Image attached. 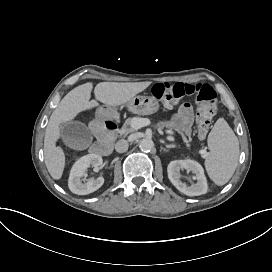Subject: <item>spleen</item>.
I'll use <instances>...</instances> for the list:
<instances>
[{"instance_id":"spleen-1","label":"spleen","mask_w":272,"mask_h":272,"mask_svg":"<svg viewBox=\"0 0 272 272\" xmlns=\"http://www.w3.org/2000/svg\"><path fill=\"white\" fill-rule=\"evenodd\" d=\"M210 150L204 161L209 178L218 186L233 176L239 159V140L223 118H219L207 139Z\"/></svg>"}]
</instances>
